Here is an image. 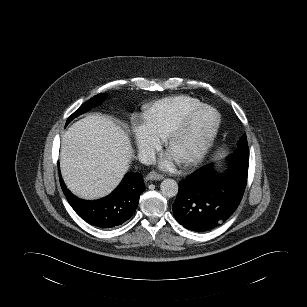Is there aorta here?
Here are the masks:
<instances>
[{"label": "aorta", "mask_w": 307, "mask_h": 307, "mask_svg": "<svg viewBox=\"0 0 307 307\" xmlns=\"http://www.w3.org/2000/svg\"><path fill=\"white\" fill-rule=\"evenodd\" d=\"M160 189L164 196L174 197L178 193V184L173 179H164L160 185Z\"/></svg>", "instance_id": "aorta-1"}]
</instances>
